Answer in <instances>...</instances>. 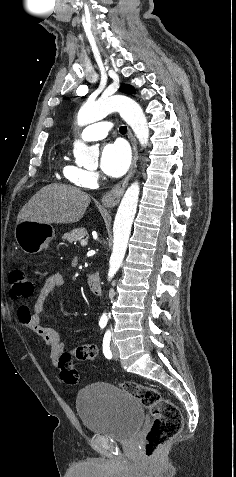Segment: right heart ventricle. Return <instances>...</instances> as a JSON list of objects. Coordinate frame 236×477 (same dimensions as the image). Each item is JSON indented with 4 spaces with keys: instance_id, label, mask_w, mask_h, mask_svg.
I'll return each mask as SVG.
<instances>
[{
    "instance_id": "e07e8e85",
    "label": "right heart ventricle",
    "mask_w": 236,
    "mask_h": 477,
    "mask_svg": "<svg viewBox=\"0 0 236 477\" xmlns=\"http://www.w3.org/2000/svg\"><path fill=\"white\" fill-rule=\"evenodd\" d=\"M64 175L71 173L78 177H81L85 174L86 170L82 169L81 167L74 166V165H65L63 168ZM75 186H81L80 183L70 181Z\"/></svg>"
}]
</instances>
